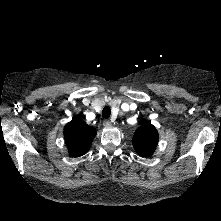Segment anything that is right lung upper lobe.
Masks as SVG:
<instances>
[{
    "instance_id": "obj_1",
    "label": "right lung upper lobe",
    "mask_w": 221,
    "mask_h": 221,
    "mask_svg": "<svg viewBox=\"0 0 221 221\" xmlns=\"http://www.w3.org/2000/svg\"><path fill=\"white\" fill-rule=\"evenodd\" d=\"M96 135L95 128L87 125L81 118H74L64 128V138L69 154L73 157L84 155Z\"/></svg>"
}]
</instances>
